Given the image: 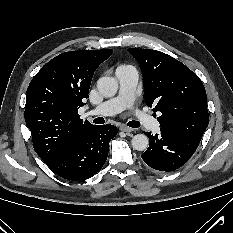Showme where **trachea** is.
Here are the masks:
<instances>
[{
    "instance_id": "1",
    "label": "trachea",
    "mask_w": 233,
    "mask_h": 233,
    "mask_svg": "<svg viewBox=\"0 0 233 233\" xmlns=\"http://www.w3.org/2000/svg\"><path fill=\"white\" fill-rule=\"evenodd\" d=\"M127 125L132 127V128H139L140 127V122L133 120V121L128 122Z\"/></svg>"
}]
</instances>
